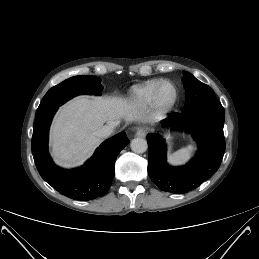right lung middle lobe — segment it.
<instances>
[{
	"mask_svg": "<svg viewBox=\"0 0 259 259\" xmlns=\"http://www.w3.org/2000/svg\"><path fill=\"white\" fill-rule=\"evenodd\" d=\"M99 79L90 75L71 77L52 87L43 97L36 116L47 110L58 108L69 99L80 94H101Z\"/></svg>",
	"mask_w": 259,
	"mask_h": 259,
	"instance_id": "right-lung-middle-lobe-1",
	"label": "right lung middle lobe"
}]
</instances>
